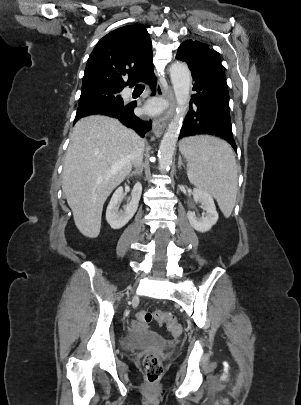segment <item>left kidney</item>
<instances>
[{"label":"left kidney","mask_w":301,"mask_h":405,"mask_svg":"<svg viewBox=\"0 0 301 405\" xmlns=\"http://www.w3.org/2000/svg\"><path fill=\"white\" fill-rule=\"evenodd\" d=\"M192 194L194 201L201 203L205 213L201 218H198L195 212L188 211L187 218L196 231L201 233L207 232L218 220V213L213 198L208 192L200 188H194Z\"/></svg>","instance_id":"obj_1"}]
</instances>
